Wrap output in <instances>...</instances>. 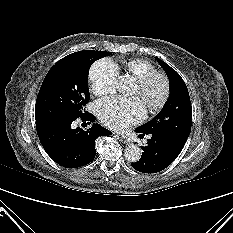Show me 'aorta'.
I'll list each match as a JSON object with an SVG mask.
<instances>
[{"label": "aorta", "mask_w": 233, "mask_h": 233, "mask_svg": "<svg viewBox=\"0 0 233 233\" xmlns=\"http://www.w3.org/2000/svg\"><path fill=\"white\" fill-rule=\"evenodd\" d=\"M131 79L127 76H120L116 81V88L120 93H128L130 90ZM142 151L139 146L130 144L126 147L124 156L129 162H137L141 158Z\"/></svg>", "instance_id": "obj_1"}]
</instances>
